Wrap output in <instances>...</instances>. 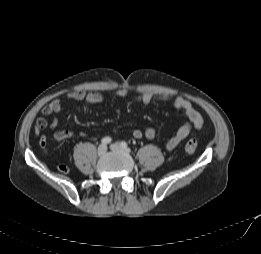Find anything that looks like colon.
<instances>
[{"label": "colon", "instance_id": "5ec220e1", "mask_svg": "<svg viewBox=\"0 0 261 254\" xmlns=\"http://www.w3.org/2000/svg\"><path fill=\"white\" fill-rule=\"evenodd\" d=\"M197 148L196 139H189L185 144V152L187 154H193ZM58 170L62 173H67L69 171L68 167L64 164H59L57 166Z\"/></svg>", "mask_w": 261, "mask_h": 254}]
</instances>
